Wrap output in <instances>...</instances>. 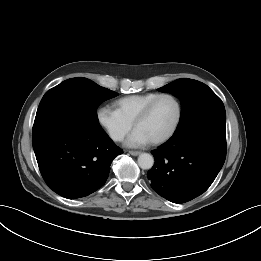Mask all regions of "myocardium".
<instances>
[{"label": "myocardium", "mask_w": 261, "mask_h": 261, "mask_svg": "<svg viewBox=\"0 0 261 261\" xmlns=\"http://www.w3.org/2000/svg\"><path fill=\"white\" fill-rule=\"evenodd\" d=\"M162 98H169L174 101L176 108H177V114H176L175 121H174L172 127L170 128V130L165 135L161 136L160 138L152 140L151 143L153 145H160V144L167 142L176 133V131L180 125L181 118H182V106H181V103L178 100V98L170 93L158 94L140 111V113L137 115V117L135 118V120L133 122V127L135 128L140 122H142L144 119H146L148 117V115L150 114L154 105Z\"/></svg>", "instance_id": "myocardium-1"}]
</instances>
